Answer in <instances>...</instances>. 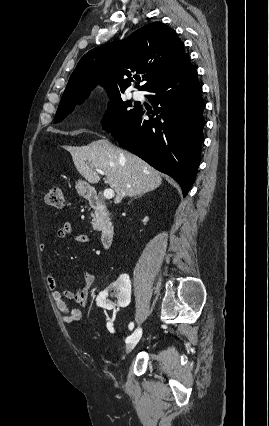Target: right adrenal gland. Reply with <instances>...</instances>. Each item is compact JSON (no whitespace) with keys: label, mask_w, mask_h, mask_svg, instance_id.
I'll return each mask as SVG.
<instances>
[{"label":"right adrenal gland","mask_w":269,"mask_h":426,"mask_svg":"<svg viewBox=\"0 0 269 426\" xmlns=\"http://www.w3.org/2000/svg\"><path fill=\"white\" fill-rule=\"evenodd\" d=\"M141 195H143V194H139L138 197H140Z\"/></svg>","instance_id":"right-adrenal-gland-1"}]
</instances>
